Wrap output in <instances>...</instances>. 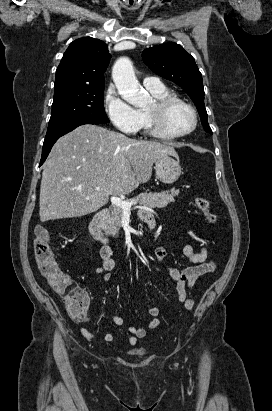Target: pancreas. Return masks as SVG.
<instances>
[{"label": "pancreas", "instance_id": "pancreas-1", "mask_svg": "<svg viewBox=\"0 0 272 411\" xmlns=\"http://www.w3.org/2000/svg\"><path fill=\"white\" fill-rule=\"evenodd\" d=\"M178 194L179 191L172 188L171 190L164 192H144L137 196L135 199H138V203L142 206H146L153 209L164 208L169 203L174 202V197ZM122 218L123 209L118 206H113L110 216L105 224L106 233L112 236H117L121 228Z\"/></svg>", "mask_w": 272, "mask_h": 411}]
</instances>
